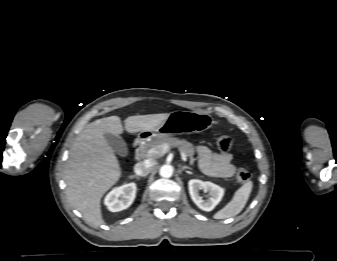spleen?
I'll use <instances>...</instances> for the list:
<instances>
[{
	"label": "spleen",
	"mask_w": 337,
	"mask_h": 261,
	"mask_svg": "<svg viewBox=\"0 0 337 261\" xmlns=\"http://www.w3.org/2000/svg\"><path fill=\"white\" fill-rule=\"evenodd\" d=\"M253 188L252 181H248L236 190L232 200L214 214L215 219H226L238 215L245 207Z\"/></svg>",
	"instance_id": "3e777b00"
}]
</instances>
